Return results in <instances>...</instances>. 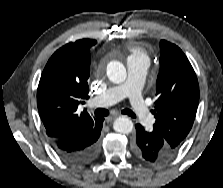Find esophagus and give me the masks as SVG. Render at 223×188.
I'll return each instance as SVG.
<instances>
[{
  "label": "esophagus",
  "mask_w": 223,
  "mask_h": 188,
  "mask_svg": "<svg viewBox=\"0 0 223 188\" xmlns=\"http://www.w3.org/2000/svg\"><path fill=\"white\" fill-rule=\"evenodd\" d=\"M117 116H119V114L110 116V117L106 118V121H107V122H112Z\"/></svg>",
  "instance_id": "esophagus-1"
}]
</instances>
